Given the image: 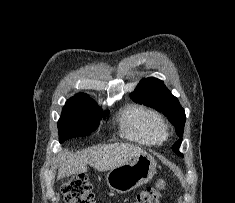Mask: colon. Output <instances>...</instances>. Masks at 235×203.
<instances>
[{
	"instance_id": "5ec220e1",
	"label": "colon",
	"mask_w": 235,
	"mask_h": 203,
	"mask_svg": "<svg viewBox=\"0 0 235 203\" xmlns=\"http://www.w3.org/2000/svg\"><path fill=\"white\" fill-rule=\"evenodd\" d=\"M163 188L164 182L160 180L137 193L129 203H158ZM62 189L66 203H96L91 184L84 174L70 176Z\"/></svg>"
}]
</instances>
